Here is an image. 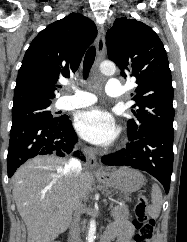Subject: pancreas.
Returning a JSON list of instances; mask_svg holds the SVG:
<instances>
[{
  "instance_id": "cf45deb5",
  "label": "pancreas",
  "mask_w": 187,
  "mask_h": 242,
  "mask_svg": "<svg viewBox=\"0 0 187 242\" xmlns=\"http://www.w3.org/2000/svg\"><path fill=\"white\" fill-rule=\"evenodd\" d=\"M112 215L115 218L121 217L122 215L128 214V207L124 203H119V205L115 206L112 211Z\"/></svg>"
}]
</instances>
